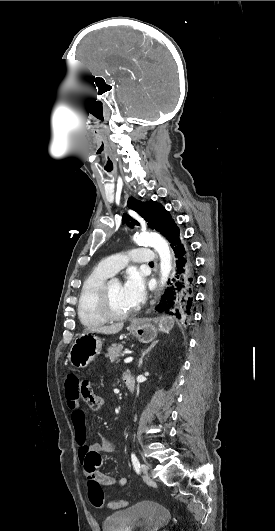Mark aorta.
<instances>
[{
	"mask_svg": "<svg viewBox=\"0 0 275 531\" xmlns=\"http://www.w3.org/2000/svg\"><path fill=\"white\" fill-rule=\"evenodd\" d=\"M136 237V235H135ZM134 237V239H135ZM139 239L143 237L155 251H157L159 257H160V273H161V287H164L166 281H168V277L171 273L172 269V257L170 253V247L163 239V237H160V235H154V233H141V235H138ZM111 287H117L119 283H116V281H110Z\"/></svg>",
	"mask_w": 275,
	"mask_h": 531,
	"instance_id": "aorta-1",
	"label": "aorta"
}]
</instances>
